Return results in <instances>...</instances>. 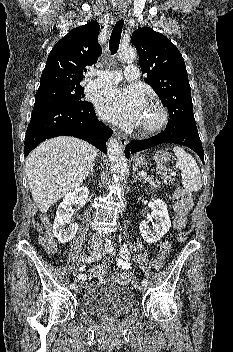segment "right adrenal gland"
I'll list each match as a JSON object with an SVG mask.
<instances>
[{
    "mask_svg": "<svg viewBox=\"0 0 233 352\" xmlns=\"http://www.w3.org/2000/svg\"><path fill=\"white\" fill-rule=\"evenodd\" d=\"M94 166H95V163L92 165L91 169H90V172L87 174V177H89L90 175L93 176L94 175Z\"/></svg>",
    "mask_w": 233,
    "mask_h": 352,
    "instance_id": "right-adrenal-gland-1",
    "label": "right adrenal gland"
}]
</instances>
